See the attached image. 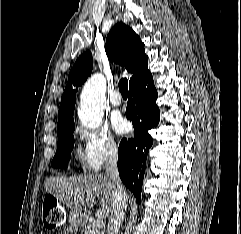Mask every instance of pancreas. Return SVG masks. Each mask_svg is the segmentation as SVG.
Listing matches in <instances>:
<instances>
[{
    "label": "pancreas",
    "instance_id": "cf45deb5",
    "mask_svg": "<svg viewBox=\"0 0 241 234\" xmlns=\"http://www.w3.org/2000/svg\"><path fill=\"white\" fill-rule=\"evenodd\" d=\"M83 234H101L100 230L93 227L91 224L85 226Z\"/></svg>",
    "mask_w": 241,
    "mask_h": 234
}]
</instances>
